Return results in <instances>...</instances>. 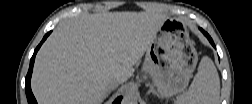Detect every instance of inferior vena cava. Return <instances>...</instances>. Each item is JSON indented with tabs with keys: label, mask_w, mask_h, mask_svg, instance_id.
<instances>
[{
	"label": "inferior vena cava",
	"mask_w": 252,
	"mask_h": 104,
	"mask_svg": "<svg viewBox=\"0 0 252 104\" xmlns=\"http://www.w3.org/2000/svg\"><path fill=\"white\" fill-rule=\"evenodd\" d=\"M122 83V80L121 79H111L108 84H107V88H108V91H112L114 89H116L119 84Z\"/></svg>",
	"instance_id": "1"
}]
</instances>
